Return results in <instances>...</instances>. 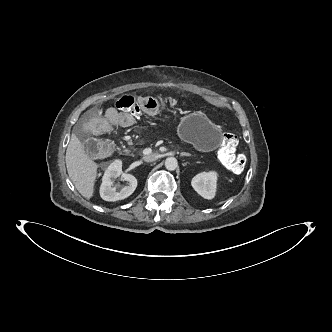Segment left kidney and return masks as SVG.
Segmentation results:
<instances>
[{"label": "left kidney", "mask_w": 332, "mask_h": 332, "mask_svg": "<svg viewBox=\"0 0 332 332\" xmlns=\"http://www.w3.org/2000/svg\"><path fill=\"white\" fill-rule=\"evenodd\" d=\"M217 176L214 171L199 173L192 179V187L203 198L212 199L216 192Z\"/></svg>", "instance_id": "1"}]
</instances>
